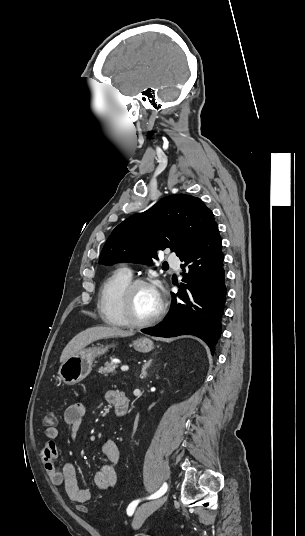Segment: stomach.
<instances>
[{
  "label": "stomach",
  "mask_w": 305,
  "mask_h": 536,
  "mask_svg": "<svg viewBox=\"0 0 305 536\" xmlns=\"http://www.w3.org/2000/svg\"><path fill=\"white\" fill-rule=\"evenodd\" d=\"M133 346L137 352H143V354H147V352L153 350V342L149 338L135 340ZM105 352H107V348H103V346H100V348L92 346V348L79 350L77 354H74V356H71V358H68L66 362L61 364L58 370L59 378L67 386H74V384L82 382L90 374L95 358L101 356V354H105Z\"/></svg>",
  "instance_id": "obj_1"
}]
</instances>
